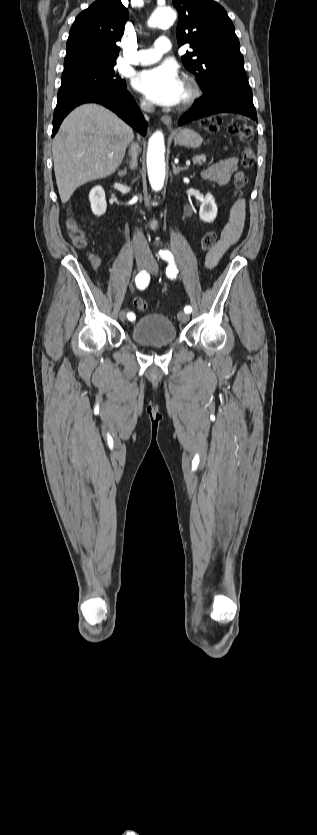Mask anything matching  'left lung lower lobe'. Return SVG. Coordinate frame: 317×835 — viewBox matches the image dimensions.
Masks as SVG:
<instances>
[{"instance_id": "obj_1", "label": "left lung lower lobe", "mask_w": 317, "mask_h": 835, "mask_svg": "<svg viewBox=\"0 0 317 835\" xmlns=\"http://www.w3.org/2000/svg\"><path fill=\"white\" fill-rule=\"evenodd\" d=\"M216 113H237L257 121L252 90L245 76L230 78L215 92L204 93L195 101L193 108L179 119L178 124Z\"/></svg>"}]
</instances>
